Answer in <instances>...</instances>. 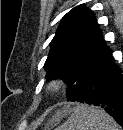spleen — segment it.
<instances>
[{
	"mask_svg": "<svg viewBox=\"0 0 123 130\" xmlns=\"http://www.w3.org/2000/svg\"><path fill=\"white\" fill-rule=\"evenodd\" d=\"M117 122L101 108L77 104L57 130H120Z\"/></svg>",
	"mask_w": 123,
	"mask_h": 130,
	"instance_id": "1",
	"label": "spleen"
}]
</instances>
